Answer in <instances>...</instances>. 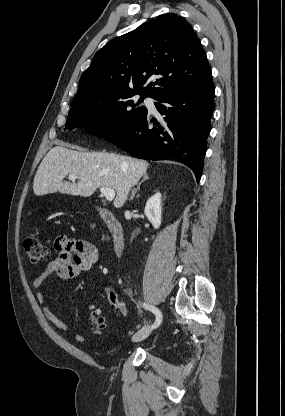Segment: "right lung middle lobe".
<instances>
[{
    "label": "right lung middle lobe",
    "instance_id": "dd1d6c3e",
    "mask_svg": "<svg viewBox=\"0 0 285 416\" xmlns=\"http://www.w3.org/2000/svg\"><path fill=\"white\" fill-rule=\"evenodd\" d=\"M132 98L125 96L72 110L65 128H85L88 133L106 139L117 135L147 115V109L140 105L144 97H140L138 103Z\"/></svg>",
    "mask_w": 285,
    "mask_h": 416
}]
</instances>
